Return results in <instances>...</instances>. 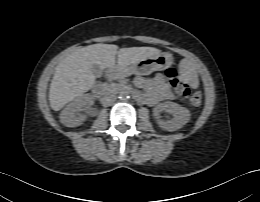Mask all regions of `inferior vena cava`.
<instances>
[{"mask_svg": "<svg viewBox=\"0 0 260 202\" xmlns=\"http://www.w3.org/2000/svg\"><path fill=\"white\" fill-rule=\"evenodd\" d=\"M115 101H116V96L112 94L105 95L101 98V103L105 107L112 105Z\"/></svg>", "mask_w": 260, "mask_h": 202, "instance_id": "602c4592", "label": "inferior vena cava"}]
</instances>
